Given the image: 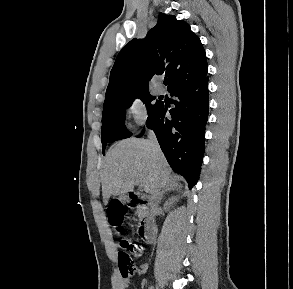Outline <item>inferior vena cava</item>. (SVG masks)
<instances>
[{"label": "inferior vena cava", "instance_id": "1", "mask_svg": "<svg viewBox=\"0 0 293 289\" xmlns=\"http://www.w3.org/2000/svg\"><path fill=\"white\" fill-rule=\"evenodd\" d=\"M148 141L149 143L151 144V146L155 149V150H159L160 147H159V144L157 142V138L154 134L153 131H149L148 132ZM161 186L160 185H157L153 191L151 192V198H150V208H151V211L153 212L154 209L156 208L158 202H159V197H160V194H161Z\"/></svg>", "mask_w": 293, "mask_h": 289}]
</instances>
